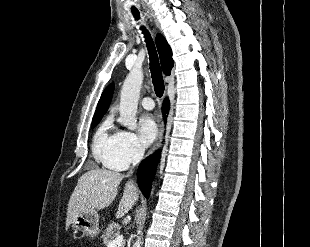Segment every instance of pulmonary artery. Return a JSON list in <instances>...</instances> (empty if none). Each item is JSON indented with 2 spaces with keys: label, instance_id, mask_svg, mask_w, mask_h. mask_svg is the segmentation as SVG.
<instances>
[{
  "label": "pulmonary artery",
  "instance_id": "1",
  "mask_svg": "<svg viewBox=\"0 0 310 247\" xmlns=\"http://www.w3.org/2000/svg\"><path fill=\"white\" fill-rule=\"evenodd\" d=\"M142 106L147 109V110H151L154 108V101L151 97H144L141 101Z\"/></svg>",
  "mask_w": 310,
  "mask_h": 247
}]
</instances>
